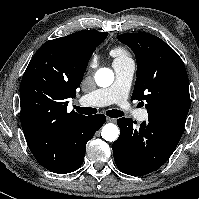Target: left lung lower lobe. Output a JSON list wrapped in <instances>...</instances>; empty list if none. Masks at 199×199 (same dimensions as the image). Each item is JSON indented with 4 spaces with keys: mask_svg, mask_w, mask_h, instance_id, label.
Returning a JSON list of instances; mask_svg holds the SVG:
<instances>
[{
    "mask_svg": "<svg viewBox=\"0 0 199 199\" xmlns=\"http://www.w3.org/2000/svg\"><path fill=\"white\" fill-rule=\"evenodd\" d=\"M117 124L120 136L112 145L116 166L135 176L160 168L174 152L184 130L151 117L137 129L130 118H120Z\"/></svg>",
    "mask_w": 199,
    "mask_h": 199,
    "instance_id": "obj_1",
    "label": "left lung lower lobe"
}]
</instances>
